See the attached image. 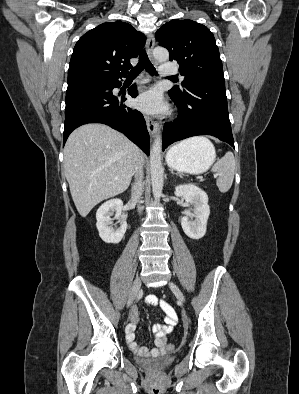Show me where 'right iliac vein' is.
Masks as SVG:
<instances>
[{
	"label": "right iliac vein",
	"mask_w": 299,
	"mask_h": 394,
	"mask_svg": "<svg viewBox=\"0 0 299 394\" xmlns=\"http://www.w3.org/2000/svg\"><path fill=\"white\" fill-rule=\"evenodd\" d=\"M140 287H141V280L140 277H136V279L134 280L131 290H130V294H129V298L127 301V306L130 307L134 300L136 299V297L138 296L139 292H140Z\"/></svg>",
	"instance_id": "obj_1"
}]
</instances>
